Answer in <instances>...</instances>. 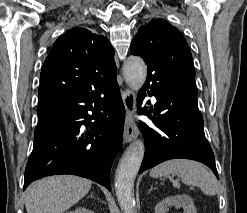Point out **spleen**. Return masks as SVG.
Instances as JSON below:
<instances>
[{
	"label": "spleen",
	"instance_id": "spleen-1",
	"mask_svg": "<svg viewBox=\"0 0 247 213\" xmlns=\"http://www.w3.org/2000/svg\"><path fill=\"white\" fill-rule=\"evenodd\" d=\"M166 175H177L184 184L197 186L208 196H214L219 191L216 177L199 162L186 159L168 160L150 171L151 177Z\"/></svg>",
	"mask_w": 247,
	"mask_h": 213
}]
</instances>
